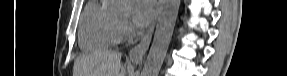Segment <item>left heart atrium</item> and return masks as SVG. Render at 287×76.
Returning a JSON list of instances; mask_svg holds the SVG:
<instances>
[{"label": "left heart atrium", "mask_w": 287, "mask_h": 76, "mask_svg": "<svg viewBox=\"0 0 287 76\" xmlns=\"http://www.w3.org/2000/svg\"><path fill=\"white\" fill-rule=\"evenodd\" d=\"M132 19L139 27L146 26L155 16L156 2L154 0H132Z\"/></svg>", "instance_id": "39dd6f15"}]
</instances>
